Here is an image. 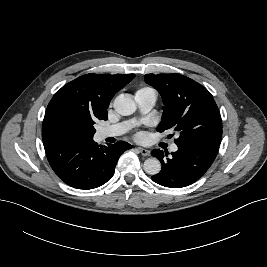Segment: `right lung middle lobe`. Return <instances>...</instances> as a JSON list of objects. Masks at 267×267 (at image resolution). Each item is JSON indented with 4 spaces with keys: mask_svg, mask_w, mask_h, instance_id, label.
Instances as JSON below:
<instances>
[{
    "mask_svg": "<svg viewBox=\"0 0 267 267\" xmlns=\"http://www.w3.org/2000/svg\"><path fill=\"white\" fill-rule=\"evenodd\" d=\"M94 121H81L73 118L66 119L60 127V136L68 139L93 138L96 132Z\"/></svg>",
    "mask_w": 267,
    "mask_h": 267,
    "instance_id": "obj_1",
    "label": "right lung middle lobe"
}]
</instances>
